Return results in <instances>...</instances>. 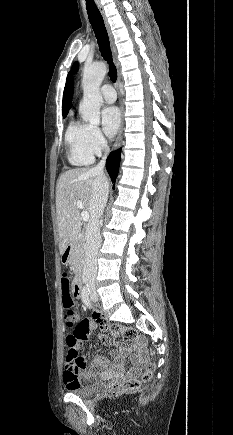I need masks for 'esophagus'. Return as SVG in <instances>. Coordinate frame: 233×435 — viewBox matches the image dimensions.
Here are the masks:
<instances>
[{
    "label": "esophagus",
    "instance_id": "obj_1",
    "mask_svg": "<svg viewBox=\"0 0 233 435\" xmlns=\"http://www.w3.org/2000/svg\"><path fill=\"white\" fill-rule=\"evenodd\" d=\"M95 3H96V5H97V7H98V9H99V11H100V13L102 15L103 20H104V24H105V27H106V30H107V33H108L109 41H110V47H111L112 56H113L115 65H116L117 70H118V87H119V96H120L121 125H120L119 133L117 135V138H116V141H115V144H114V149H117L121 145V141H122V137H123V131H124V106H123V102H122V99H121L122 95H121V91H120V83H121V76H120V72H119V66H120V64H119V61H118V58H117V49H116V46H115L114 37H113L112 31H111V27H110L109 21H108L106 15H105L104 8L101 5L100 0H95Z\"/></svg>",
    "mask_w": 233,
    "mask_h": 435
}]
</instances>
